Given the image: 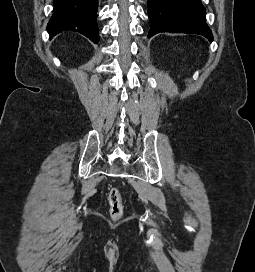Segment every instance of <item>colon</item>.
I'll use <instances>...</instances> for the list:
<instances>
[{
    "mask_svg": "<svg viewBox=\"0 0 255 272\" xmlns=\"http://www.w3.org/2000/svg\"><path fill=\"white\" fill-rule=\"evenodd\" d=\"M109 214L110 217L117 221L120 220L124 213V206L121 191L117 187H113L109 190L108 195Z\"/></svg>",
    "mask_w": 255,
    "mask_h": 272,
    "instance_id": "1",
    "label": "colon"
}]
</instances>
